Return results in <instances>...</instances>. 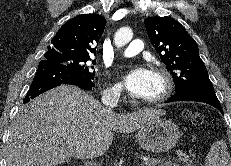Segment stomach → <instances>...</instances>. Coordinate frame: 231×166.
Instances as JSON below:
<instances>
[{"label":"stomach","mask_w":231,"mask_h":166,"mask_svg":"<svg viewBox=\"0 0 231 166\" xmlns=\"http://www.w3.org/2000/svg\"><path fill=\"white\" fill-rule=\"evenodd\" d=\"M136 141L145 150L167 152L179 141V128L172 121L161 116L139 128Z\"/></svg>","instance_id":"0dacf381"}]
</instances>
